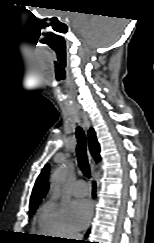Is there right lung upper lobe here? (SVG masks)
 Wrapping results in <instances>:
<instances>
[{"label": "right lung upper lobe", "instance_id": "cb5924a9", "mask_svg": "<svg viewBox=\"0 0 154 243\" xmlns=\"http://www.w3.org/2000/svg\"><path fill=\"white\" fill-rule=\"evenodd\" d=\"M88 136L90 151L96 162H99L101 160L100 146L97 142L96 134L92 128L89 130ZM48 172L49 166L46 165L42 169L40 175L38 176L34 188L32 190L30 207L38 206V203L41 202L42 198L46 195L48 190Z\"/></svg>", "mask_w": 154, "mask_h": 243}]
</instances>
